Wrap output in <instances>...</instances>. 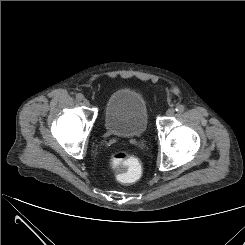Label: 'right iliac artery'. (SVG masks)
Masks as SVG:
<instances>
[{"label":"right iliac artery","instance_id":"right-iliac-artery-1","mask_svg":"<svg viewBox=\"0 0 245 245\" xmlns=\"http://www.w3.org/2000/svg\"><path fill=\"white\" fill-rule=\"evenodd\" d=\"M76 99H77L78 101H82V100L84 99V96H83L81 93H78V94L76 95Z\"/></svg>","mask_w":245,"mask_h":245}]
</instances>
